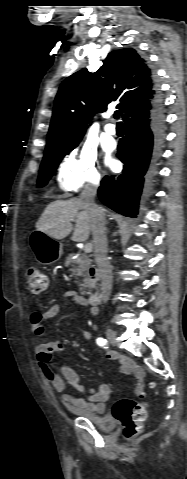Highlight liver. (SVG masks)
Returning a JSON list of instances; mask_svg holds the SVG:
<instances>
[{
    "label": "liver",
    "mask_w": 187,
    "mask_h": 479,
    "mask_svg": "<svg viewBox=\"0 0 187 479\" xmlns=\"http://www.w3.org/2000/svg\"><path fill=\"white\" fill-rule=\"evenodd\" d=\"M74 219L76 224L72 240L84 242L91 232V220L80 199L77 198L51 202L37 221L36 228L56 240H61L73 230L71 222Z\"/></svg>",
    "instance_id": "liver-1"
}]
</instances>
